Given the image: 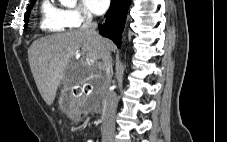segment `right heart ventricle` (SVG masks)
<instances>
[{
  "label": "right heart ventricle",
  "instance_id": "right-heart-ventricle-1",
  "mask_svg": "<svg viewBox=\"0 0 227 142\" xmlns=\"http://www.w3.org/2000/svg\"><path fill=\"white\" fill-rule=\"evenodd\" d=\"M69 27L65 10L53 0H42L39 8V28L46 33H61Z\"/></svg>",
  "mask_w": 227,
  "mask_h": 142
}]
</instances>
